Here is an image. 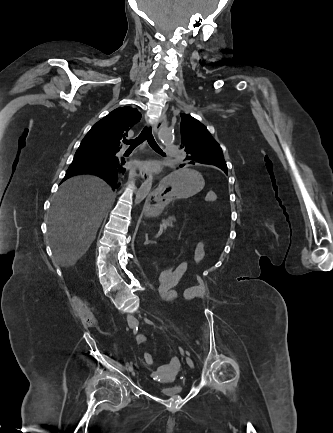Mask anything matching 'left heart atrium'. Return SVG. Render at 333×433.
Segmentation results:
<instances>
[{"mask_svg":"<svg viewBox=\"0 0 333 433\" xmlns=\"http://www.w3.org/2000/svg\"><path fill=\"white\" fill-rule=\"evenodd\" d=\"M141 169H146L149 171H156L158 169V165L155 162H142L139 163Z\"/></svg>","mask_w":333,"mask_h":433,"instance_id":"39dd6f15","label":"left heart atrium"}]
</instances>
